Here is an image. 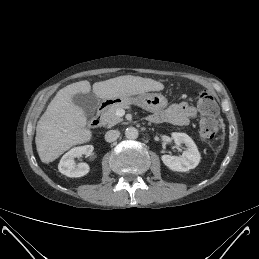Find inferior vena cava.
Wrapping results in <instances>:
<instances>
[{"label":"inferior vena cava","instance_id":"1","mask_svg":"<svg viewBox=\"0 0 259 259\" xmlns=\"http://www.w3.org/2000/svg\"><path fill=\"white\" fill-rule=\"evenodd\" d=\"M119 136H120V132L118 130H109L105 134V140L109 143L114 142L115 140L118 139Z\"/></svg>","mask_w":259,"mask_h":259}]
</instances>
